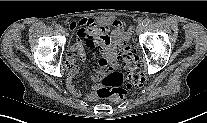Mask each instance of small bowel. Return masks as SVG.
<instances>
[{"instance_id":"c3829d8e","label":"small bowel","mask_w":207,"mask_h":123,"mask_svg":"<svg viewBox=\"0 0 207 123\" xmlns=\"http://www.w3.org/2000/svg\"><path fill=\"white\" fill-rule=\"evenodd\" d=\"M69 28L71 30L78 28V32L75 44L67 51L66 85L74 97H80L81 92L75 85L74 77L79 71L76 61H83L86 58L84 44L94 55L102 56L97 68L99 66L102 67L109 61H114L116 46L121 41L128 39L130 32L118 19H113L110 24L107 25L105 23H97L91 18H83L78 21L71 22L69 24ZM92 79L96 80V77H93ZM95 97L96 95L94 91H89L84 95V98L87 101H93Z\"/></svg>"}]
</instances>
